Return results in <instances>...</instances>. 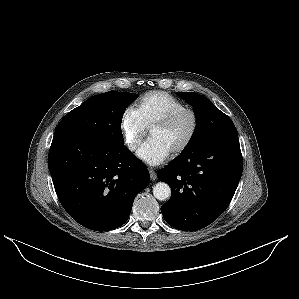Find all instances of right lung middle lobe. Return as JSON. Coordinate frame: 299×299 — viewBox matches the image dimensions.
<instances>
[{"mask_svg": "<svg viewBox=\"0 0 299 299\" xmlns=\"http://www.w3.org/2000/svg\"><path fill=\"white\" fill-rule=\"evenodd\" d=\"M137 97V94L116 91L92 96L63 117L55 134L123 145L122 117L126 107Z\"/></svg>", "mask_w": 299, "mask_h": 299, "instance_id": "dd1d6c3e", "label": "right lung middle lobe"}]
</instances>
